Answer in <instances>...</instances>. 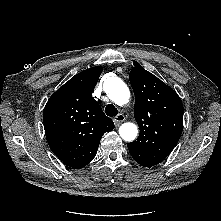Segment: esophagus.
Segmentation results:
<instances>
[{"label":"esophagus","mask_w":221,"mask_h":221,"mask_svg":"<svg viewBox=\"0 0 221 221\" xmlns=\"http://www.w3.org/2000/svg\"><path fill=\"white\" fill-rule=\"evenodd\" d=\"M115 126H119L122 122L125 121V116L123 114H118L114 119Z\"/></svg>","instance_id":"34e87169"}]
</instances>
